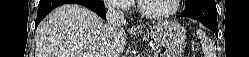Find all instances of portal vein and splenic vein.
<instances>
[{"instance_id": "obj_1", "label": "portal vein and splenic vein", "mask_w": 249, "mask_h": 57, "mask_svg": "<svg viewBox=\"0 0 249 57\" xmlns=\"http://www.w3.org/2000/svg\"><path fill=\"white\" fill-rule=\"evenodd\" d=\"M86 57H89V55L87 54V55H85Z\"/></svg>"}]
</instances>
